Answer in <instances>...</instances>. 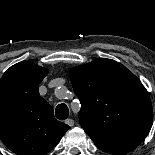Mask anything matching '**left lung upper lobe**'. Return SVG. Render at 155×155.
I'll return each mask as SVG.
<instances>
[{"label":"left lung upper lobe","instance_id":"left-lung-upper-lobe-1","mask_svg":"<svg viewBox=\"0 0 155 155\" xmlns=\"http://www.w3.org/2000/svg\"><path fill=\"white\" fill-rule=\"evenodd\" d=\"M80 124L94 143L144 139L153 123L149 94L122 64L96 59L71 70Z\"/></svg>","mask_w":155,"mask_h":155}]
</instances>
